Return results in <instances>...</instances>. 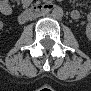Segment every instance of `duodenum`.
Wrapping results in <instances>:
<instances>
[{
    "label": "duodenum",
    "mask_w": 91,
    "mask_h": 91,
    "mask_svg": "<svg viewBox=\"0 0 91 91\" xmlns=\"http://www.w3.org/2000/svg\"><path fill=\"white\" fill-rule=\"evenodd\" d=\"M55 7L56 5L53 3H39L31 5L19 15L18 20L21 24H23L32 18L53 10Z\"/></svg>",
    "instance_id": "1"
}]
</instances>
